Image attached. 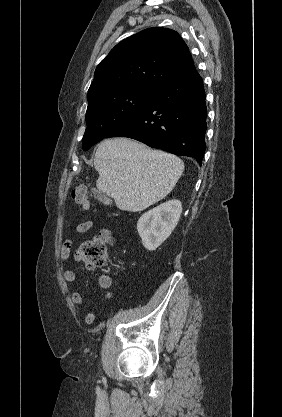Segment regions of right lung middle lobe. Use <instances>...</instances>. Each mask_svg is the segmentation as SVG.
Segmentation results:
<instances>
[{
	"label": "right lung middle lobe",
	"instance_id": "obj_1",
	"mask_svg": "<svg viewBox=\"0 0 282 417\" xmlns=\"http://www.w3.org/2000/svg\"><path fill=\"white\" fill-rule=\"evenodd\" d=\"M156 92L129 88L105 92L88 98L87 128L82 140L83 150L87 151L142 109Z\"/></svg>",
	"mask_w": 282,
	"mask_h": 417
}]
</instances>
